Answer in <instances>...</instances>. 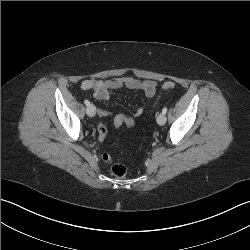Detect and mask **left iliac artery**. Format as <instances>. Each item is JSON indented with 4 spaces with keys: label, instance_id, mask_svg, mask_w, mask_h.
<instances>
[{
    "label": "left iliac artery",
    "instance_id": "44dca946",
    "mask_svg": "<svg viewBox=\"0 0 250 250\" xmlns=\"http://www.w3.org/2000/svg\"><path fill=\"white\" fill-rule=\"evenodd\" d=\"M162 113H163V114H166V113H167V108H166V107L163 108Z\"/></svg>",
    "mask_w": 250,
    "mask_h": 250
}]
</instances>
